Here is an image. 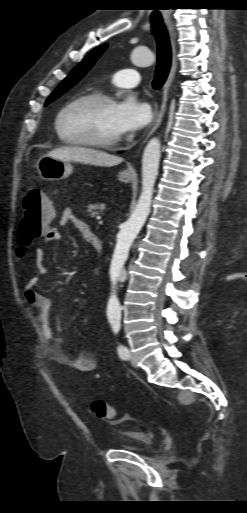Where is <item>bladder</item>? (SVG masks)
Segmentation results:
<instances>
[{
  "mask_svg": "<svg viewBox=\"0 0 247 513\" xmlns=\"http://www.w3.org/2000/svg\"><path fill=\"white\" fill-rule=\"evenodd\" d=\"M155 441L149 434L137 430L121 431L109 446V450H127L148 452L154 448Z\"/></svg>",
  "mask_w": 247,
  "mask_h": 513,
  "instance_id": "obj_1",
  "label": "bladder"
}]
</instances>
